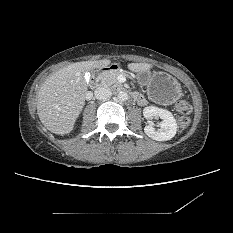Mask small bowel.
Returning a JSON list of instances; mask_svg holds the SVG:
<instances>
[{
  "label": "small bowel",
  "mask_w": 233,
  "mask_h": 233,
  "mask_svg": "<svg viewBox=\"0 0 233 233\" xmlns=\"http://www.w3.org/2000/svg\"><path fill=\"white\" fill-rule=\"evenodd\" d=\"M136 95H138V97L136 98V100L138 101V103L140 105H144L145 104L144 98L140 94H136Z\"/></svg>",
  "instance_id": "small-bowel-1"
}]
</instances>
